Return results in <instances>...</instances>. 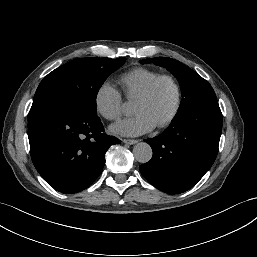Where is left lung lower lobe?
Wrapping results in <instances>:
<instances>
[{"instance_id":"obj_1","label":"left lung lower lobe","mask_w":257,"mask_h":257,"mask_svg":"<svg viewBox=\"0 0 257 257\" xmlns=\"http://www.w3.org/2000/svg\"><path fill=\"white\" fill-rule=\"evenodd\" d=\"M221 132L222 113L217 102L174 119L165 132L145 140L153 156L139 167L140 172L163 192L187 191L215 161Z\"/></svg>"}]
</instances>
